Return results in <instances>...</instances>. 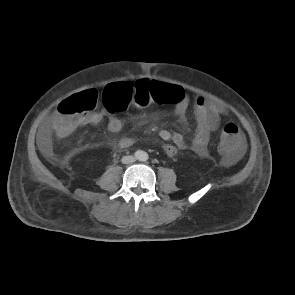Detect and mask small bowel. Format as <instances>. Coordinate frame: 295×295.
I'll use <instances>...</instances> for the list:
<instances>
[{"label":"small bowel","instance_id":"obj_1","mask_svg":"<svg viewBox=\"0 0 295 295\" xmlns=\"http://www.w3.org/2000/svg\"><path fill=\"white\" fill-rule=\"evenodd\" d=\"M138 82H136L135 84H137ZM174 87H176L178 90L177 98L174 101V112L178 117L183 118L190 105V97L182 87ZM193 104L197 126L195 133L189 142L181 133L178 132L161 130L159 133L160 139L164 141L163 150L168 157L176 156L179 149L185 148H190L193 152L201 157H205L208 155V143L210 140V136L214 131L218 129L221 117L226 114V109L220 104L209 101L200 95L194 98ZM104 117L105 113L102 111L93 112L83 119L82 124H98L104 119ZM54 121L55 115L47 120V122L44 124L39 132L38 142L45 151H48L51 146L50 137L51 133L54 131ZM122 127L123 123L120 118L116 116L109 117L108 129L110 132L118 133L119 131H121ZM133 143L134 140L132 138L123 137L119 140L118 145L120 148L125 149L131 147ZM243 151L244 144L243 141L240 140L239 146L235 150L227 152L226 163L229 165L236 163L242 156Z\"/></svg>","mask_w":295,"mask_h":295}]
</instances>
